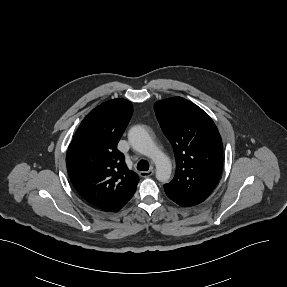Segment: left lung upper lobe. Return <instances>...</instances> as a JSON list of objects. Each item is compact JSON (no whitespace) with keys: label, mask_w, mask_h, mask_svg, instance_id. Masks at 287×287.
<instances>
[{"label":"left lung upper lobe","mask_w":287,"mask_h":287,"mask_svg":"<svg viewBox=\"0 0 287 287\" xmlns=\"http://www.w3.org/2000/svg\"><path fill=\"white\" fill-rule=\"evenodd\" d=\"M154 108L176 157L175 176L164 190L203 202L218 183L223 166L222 140L216 125L200 107L182 97L158 101Z\"/></svg>","instance_id":"obj_1"}]
</instances>
